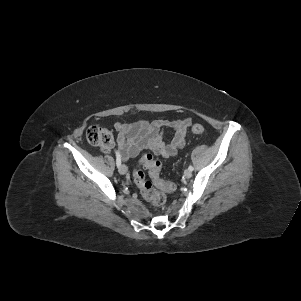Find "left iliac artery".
I'll return each mask as SVG.
<instances>
[{
	"mask_svg": "<svg viewBox=\"0 0 301 301\" xmlns=\"http://www.w3.org/2000/svg\"><path fill=\"white\" fill-rule=\"evenodd\" d=\"M188 169H189L190 171H193V170H194V167H193V166H189Z\"/></svg>",
	"mask_w": 301,
	"mask_h": 301,
	"instance_id": "left-iliac-artery-1",
	"label": "left iliac artery"
}]
</instances>
